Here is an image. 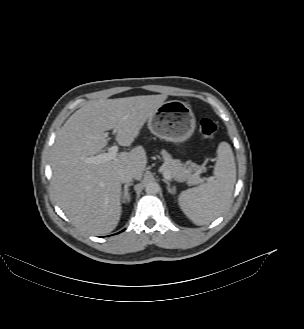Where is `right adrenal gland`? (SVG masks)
<instances>
[{"mask_svg":"<svg viewBox=\"0 0 304 329\" xmlns=\"http://www.w3.org/2000/svg\"><path fill=\"white\" fill-rule=\"evenodd\" d=\"M132 183H127L124 185V190L122 192V202L123 203H129L130 201V194H129V186H131Z\"/></svg>","mask_w":304,"mask_h":329,"instance_id":"obj_1","label":"right adrenal gland"}]
</instances>
